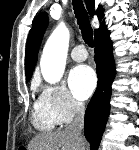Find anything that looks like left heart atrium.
Here are the masks:
<instances>
[{"mask_svg": "<svg viewBox=\"0 0 139 150\" xmlns=\"http://www.w3.org/2000/svg\"><path fill=\"white\" fill-rule=\"evenodd\" d=\"M68 82L74 97L78 100H86L93 93L97 78L89 66L81 65L71 71Z\"/></svg>", "mask_w": 139, "mask_h": 150, "instance_id": "1", "label": "left heart atrium"}]
</instances>
